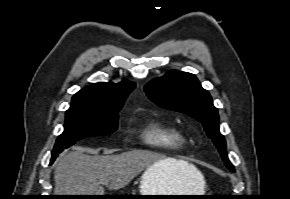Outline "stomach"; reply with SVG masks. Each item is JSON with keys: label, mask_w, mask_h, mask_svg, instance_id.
I'll return each instance as SVG.
<instances>
[{"label": "stomach", "mask_w": 290, "mask_h": 199, "mask_svg": "<svg viewBox=\"0 0 290 199\" xmlns=\"http://www.w3.org/2000/svg\"><path fill=\"white\" fill-rule=\"evenodd\" d=\"M156 171V173H155ZM178 178L175 175L168 174L159 168V165H153L146 169L140 178V195H201L205 186L203 175L199 172L195 175L193 181L194 190L192 193H177L174 191L178 183ZM143 198L156 199H193V197H163L145 196Z\"/></svg>", "instance_id": "obj_1"}]
</instances>
